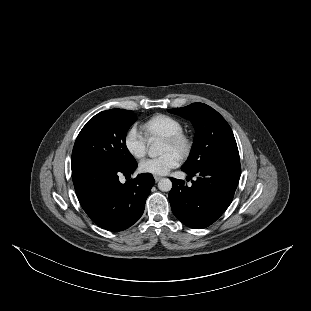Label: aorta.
Masks as SVG:
<instances>
[{
	"label": "aorta",
	"mask_w": 311,
	"mask_h": 311,
	"mask_svg": "<svg viewBox=\"0 0 311 311\" xmlns=\"http://www.w3.org/2000/svg\"><path fill=\"white\" fill-rule=\"evenodd\" d=\"M160 144L158 142H155L153 145H151L149 149V156L150 157H157L161 154L160 151ZM159 190L163 192H168L172 188V182L168 178H162L158 183Z\"/></svg>",
	"instance_id": "762f6f07"
}]
</instances>
